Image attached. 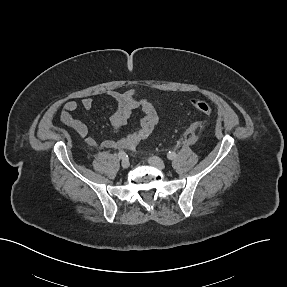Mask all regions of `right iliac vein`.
<instances>
[{
    "mask_svg": "<svg viewBox=\"0 0 287 287\" xmlns=\"http://www.w3.org/2000/svg\"><path fill=\"white\" fill-rule=\"evenodd\" d=\"M121 166L126 169L130 166V162L128 159H123L122 162H121Z\"/></svg>",
    "mask_w": 287,
    "mask_h": 287,
    "instance_id": "obj_1",
    "label": "right iliac vein"
}]
</instances>
